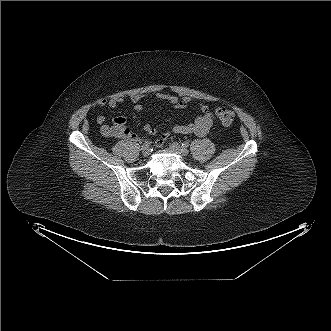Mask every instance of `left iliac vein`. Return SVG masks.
Returning <instances> with one entry per match:
<instances>
[{
  "label": "left iliac vein",
  "instance_id": "obj_1",
  "mask_svg": "<svg viewBox=\"0 0 331 331\" xmlns=\"http://www.w3.org/2000/svg\"><path fill=\"white\" fill-rule=\"evenodd\" d=\"M170 150L173 151L174 153L180 155L181 157H187L188 155V150L181 147L178 143L174 142L170 144Z\"/></svg>",
  "mask_w": 331,
  "mask_h": 331
}]
</instances>
